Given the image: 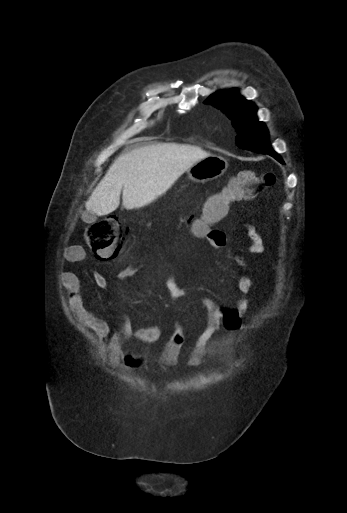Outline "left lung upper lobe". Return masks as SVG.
<instances>
[{"instance_id": "left-lung-upper-lobe-1", "label": "left lung upper lobe", "mask_w": 347, "mask_h": 513, "mask_svg": "<svg viewBox=\"0 0 347 513\" xmlns=\"http://www.w3.org/2000/svg\"><path fill=\"white\" fill-rule=\"evenodd\" d=\"M204 103L220 108L232 120L238 135L237 145L248 150L271 154L268 131L257 120L256 106L240 96L235 89L210 96Z\"/></svg>"}]
</instances>
